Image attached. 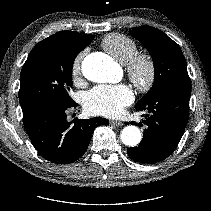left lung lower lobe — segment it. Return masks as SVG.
<instances>
[{
    "label": "left lung lower lobe",
    "instance_id": "left-lung-lower-lobe-1",
    "mask_svg": "<svg viewBox=\"0 0 211 211\" xmlns=\"http://www.w3.org/2000/svg\"><path fill=\"white\" fill-rule=\"evenodd\" d=\"M190 95L191 84H175L136 104V109L148 110L149 114L139 123L140 126L146 125L142 142L127 149L129 157L152 164L172 154L187 125Z\"/></svg>",
    "mask_w": 211,
    "mask_h": 211
}]
</instances>
